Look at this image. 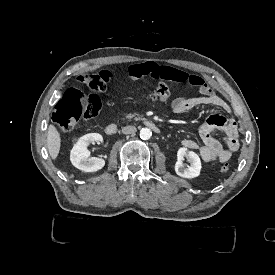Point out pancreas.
<instances>
[{"label":"pancreas","mask_w":275,"mask_h":275,"mask_svg":"<svg viewBox=\"0 0 275 275\" xmlns=\"http://www.w3.org/2000/svg\"><path fill=\"white\" fill-rule=\"evenodd\" d=\"M126 118H127V119H132V118H134L135 120H140V119H141V117H140L139 114H137V113L127 114V115H126Z\"/></svg>","instance_id":"1"}]
</instances>
